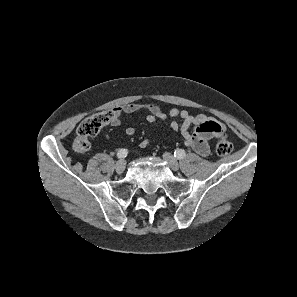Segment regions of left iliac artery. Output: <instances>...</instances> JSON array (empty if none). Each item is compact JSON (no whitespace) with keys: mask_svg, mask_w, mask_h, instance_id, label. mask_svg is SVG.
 I'll return each instance as SVG.
<instances>
[{"mask_svg":"<svg viewBox=\"0 0 297 297\" xmlns=\"http://www.w3.org/2000/svg\"><path fill=\"white\" fill-rule=\"evenodd\" d=\"M185 155H186V152H185V150H183V149H177V150H175V152H174V156H175L176 158H178V159L183 158Z\"/></svg>","mask_w":297,"mask_h":297,"instance_id":"44dca946","label":"left iliac artery"}]
</instances>
